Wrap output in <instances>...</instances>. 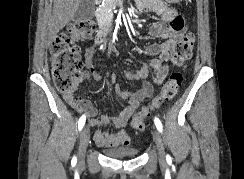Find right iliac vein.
Instances as JSON below:
<instances>
[{
    "label": "right iliac vein",
    "instance_id": "right-iliac-vein-1",
    "mask_svg": "<svg viewBox=\"0 0 244 179\" xmlns=\"http://www.w3.org/2000/svg\"><path fill=\"white\" fill-rule=\"evenodd\" d=\"M89 130L87 127L83 128L79 138V162L82 164L85 160L86 149L89 142Z\"/></svg>",
    "mask_w": 244,
    "mask_h": 179
}]
</instances>
